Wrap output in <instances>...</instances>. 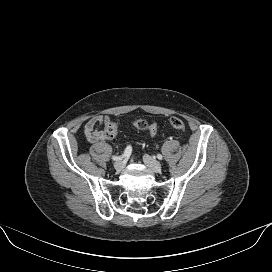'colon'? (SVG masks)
<instances>
[{
    "instance_id": "colon-1",
    "label": "colon",
    "mask_w": 272,
    "mask_h": 272,
    "mask_svg": "<svg viewBox=\"0 0 272 272\" xmlns=\"http://www.w3.org/2000/svg\"><path fill=\"white\" fill-rule=\"evenodd\" d=\"M133 126L138 130L149 132L152 136H156L158 133V125L155 122H148L145 120H136L133 122ZM170 126L176 131H184L185 123L178 117H172L170 119ZM118 132V125L112 122L105 128V135L107 139H112Z\"/></svg>"
}]
</instances>
